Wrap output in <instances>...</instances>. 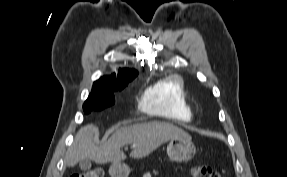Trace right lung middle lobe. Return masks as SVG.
I'll use <instances>...</instances> for the list:
<instances>
[{
  "instance_id": "1",
  "label": "right lung middle lobe",
  "mask_w": 287,
  "mask_h": 177,
  "mask_svg": "<svg viewBox=\"0 0 287 177\" xmlns=\"http://www.w3.org/2000/svg\"><path fill=\"white\" fill-rule=\"evenodd\" d=\"M127 85L128 83L105 87L93 84L92 92L83 106L84 112L87 114L93 110H102L113 105L115 103L114 92L121 91Z\"/></svg>"
}]
</instances>
